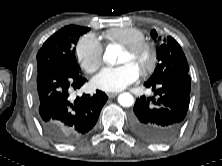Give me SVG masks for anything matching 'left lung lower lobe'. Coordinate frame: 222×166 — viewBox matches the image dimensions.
Returning <instances> with one entry per match:
<instances>
[{
	"label": "left lung lower lobe",
	"instance_id": "1",
	"mask_svg": "<svg viewBox=\"0 0 222 166\" xmlns=\"http://www.w3.org/2000/svg\"><path fill=\"white\" fill-rule=\"evenodd\" d=\"M154 96L140 97L134 105L131 126L142 139L156 144L171 141L180 131L190 102L191 78L172 75L144 84Z\"/></svg>",
	"mask_w": 222,
	"mask_h": 166
}]
</instances>
